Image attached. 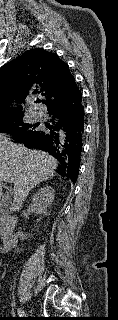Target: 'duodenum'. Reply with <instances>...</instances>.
I'll list each match as a JSON object with an SVG mask.
<instances>
[{
    "mask_svg": "<svg viewBox=\"0 0 118 320\" xmlns=\"http://www.w3.org/2000/svg\"><path fill=\"white\" fill-rule=\"evenodd\" d=\"M15 226V217L7 214H4L0 217V236L2 238V252H8L15 246L17 242Z\"/></svg>",
    "mask_w": 118,
    "mask_h": 320,
    "instance_id": "obj_1",
    "label": "duodenum"
}]
</instances>
